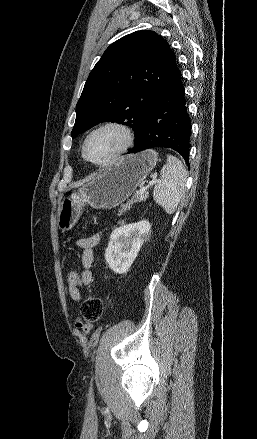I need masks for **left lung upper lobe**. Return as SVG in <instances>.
<instances>
[{"mask_svg": "<svg viewBox=\"0 0 257 439\" xmlns=\"http://www.w3.org/2000/svg\"><path fill=\"white\" fill-rule=\"evenodd\" d=\"M175 66L174 52L153 31H137L112 43L85 83L72 138L111 121L133 128L136 145L142 119Z\"/></svg>", "mask_w": 257, "mask_h": 439, "instance_id": "obj_1", "label": "left lung upper lobe"}]
</instances>
